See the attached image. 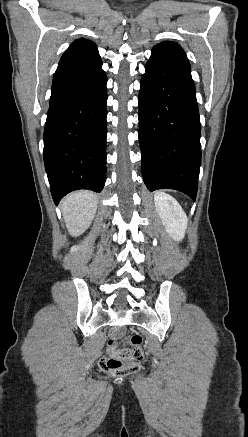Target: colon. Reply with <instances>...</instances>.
I'll list each match as a JSON object with an SVG mask.
<instances>
[{
    "label": "colon",
    "instance_id": "1",
    "mask_svg": "<svg viewBox=\"0 0 248 437\" xmlns=\"http://www.w3.org/2000/svg\"><path fill=\"white\" fill-rule=\"evenodd\" d=\"M128 343V347L117 351V341L109 340L108 354L100 360V367L104 372L113 377H122L139 369L144 359L143 338L140 334H134L129 338Z\"/></svg>",
    "mask_w": 248,
    "mask_h": 437
}]
</instances>
